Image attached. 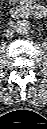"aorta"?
I'll list each match as a JSON object with an SVG mask.
<instances>
[{
    "mask_svg": "<svg viewBox=\"0 0 47 129\" xmlns=\"http://www.w3.org/2000/svg\"><path fill=\"white\" fill-rule=\"evenodd\" d=\"M31 25L27 20H20L15 26V31L20 35H25L30 31Z\"/></svg>",
    "mask_w": 47,
    "mask_h": 129,
    "instance_id": "762f6f07",
    "label": "aorta"
}]
</instances>
